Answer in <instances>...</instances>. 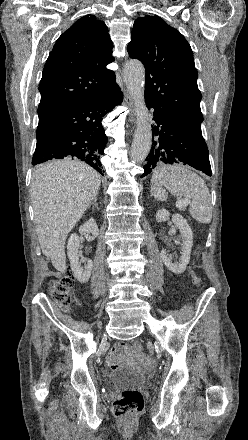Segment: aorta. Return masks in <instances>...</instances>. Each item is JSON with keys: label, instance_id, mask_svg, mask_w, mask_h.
Segmentation results:
<instances>
[{"label": "aorta", "instance_id": "1", "mask_svg": "<svg viewBox=\"0 0 248 440\" xmlns=\"http://www.w3.org/2000/svg\"><path fill=\"white\" fill-rule=\"evenodd\" d=\"M123 78L136 108V130L134 133L131 160L141 163L147 157L152 144V129L145 104V69L138 60H130L124 66Z\"/></svg>", "mask_w": 248, "mask_h": 440}]
</instances>
